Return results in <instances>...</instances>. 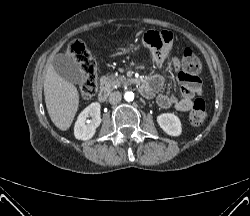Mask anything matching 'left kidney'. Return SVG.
Listing matches in <instances>:
<instances>
[{"mask_svg":"<svg viewBox=\"0 0 250 216\" xmlns=\"http://www.w3.org/2000/svg\"><path fill=\"white\" fill-rule=\"evenodd\" d=\"M157 122L161 129L170 136H180L182 124L180 119L173 113H163L157 116Z\"/></svg>","mask_w":250,"mask_h":216,"instance_id":"left-kidney-1","label":"left kidney"}]
</instances>
